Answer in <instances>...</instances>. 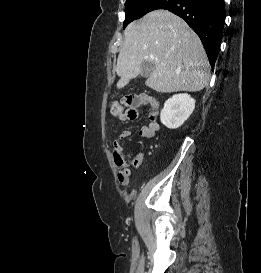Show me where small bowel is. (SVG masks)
Listing matches in <instances>:
<instances>
[{
    "label": "small bowel",
    "mask_w": 261,
    "mask_h": 273,
    "mask_svg": "<svg viewBox=\"0 0 261 273\" xmlns=\"http://www.w3.org/2000/svg\"><path fill=\"white\" fill-rule=\"evenodd\" d=\"M139 105H145L148 106L151 110V116H150V122L143 126L140 130V135L143 138H153L158 130L160 129L159 123L156 121V116L158 113V110L160 108L159 102L150 96L144 95L141 96V102ZM118 119L120 121H128L129 119L125 115L118 116ZM131 136L130 130H123L120 135L118 136V139L114 142L113 145V153L115 150H119L122 153V147L120 144V141L123 139H127ZM143 162V153L137 152L133 157L127 159L124 157V163L122 165H117L121 169L118 173V182L122 186H127L131 177V171L130 167H139L141 163Z\"/></svg>",
    "instance_id": "obj_1"
}]
</instances>
